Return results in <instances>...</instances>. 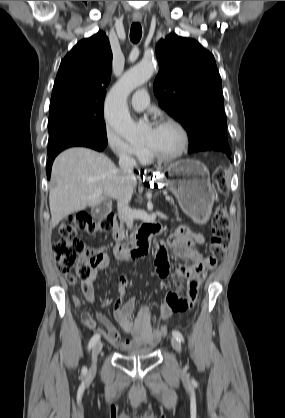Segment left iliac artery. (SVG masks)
Returning a JSON list of instances; mask_svg holds the SVG:
<instances>
[{"label":"left iliac artery","instance_id":"obj_1","mask_svg":"<svg viewBox=\"0 0 285 418\" xmlns=\"http://www.w3.org/2000/svg\"><path fill=\"white\" fill-rule=\"evenodd\" d=\"M172 335L174 338H176L177 340H179L180 342H184V337L182 335L181 332L177 331V330H173L172 331Z\"/></svg>","mask_w":285,"mask_h":418}]
</instances>
